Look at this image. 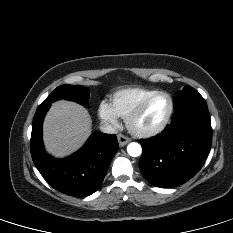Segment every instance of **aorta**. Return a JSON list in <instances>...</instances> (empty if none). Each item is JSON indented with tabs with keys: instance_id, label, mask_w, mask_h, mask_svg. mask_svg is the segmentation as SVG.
Segmentation results:
<instances>
[{
	"instance_id": "aorta-1",
	"label": "aorta",
	"mask_w": 233,
	"mask_h": 233,
	"mask_svg": "<svg viewBox=\"0 0 233 233\" xmlns=\"http://www.w3.org/2000/svg\"><path fill=\"white\" fill-rule=\"evenodd\" d=\"M127 152L132 157H138L142 154V147L137 142H131L127 146Z\"/></svg>"
}]
</instances>
